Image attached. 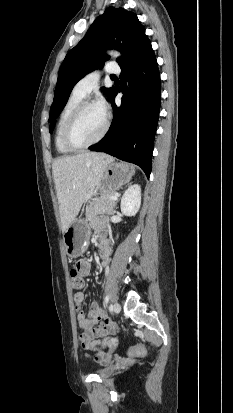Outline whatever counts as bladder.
<instances>
[{
  "label": "bladder",
  "instance_id": "obj_1",
  "mask_svg": "<svg viewBox=\"0 0 233 413\" xmlns=\"http://www.w3.org/2000/svg\"><path fill=\"white\" fill-rule=\"evenodd\" d=\"M115 372V366L112 363H106L103 367L96 371L100 377H109Z\"/></svg>",
  "mask_w": 233,
  "mask_h": 413
}]
</instances>
